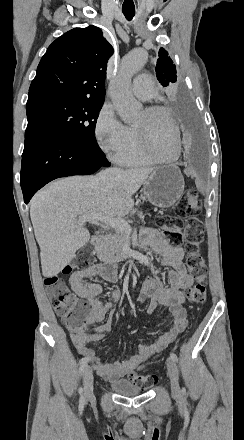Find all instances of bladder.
<instances>
[{
    "instance_id": "obj_1",
    "label": "bladder",
    "mask_w": 244,
    "mask_h": 440,
    "mask_svg": "<svg viewBox=\"0 0 244 440\" xmlns=\"http://www.w3.org/2000/svg\"><path fill=\"white\" fill-rule=\"evenodd\" d=\"M112 387L116 393L122 395L141 394V389L137 388L134 384L130 383L129 381L112 382Z\"/></svg>"
}]
</instances>
